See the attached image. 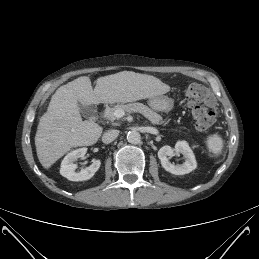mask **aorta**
Here are the masks:
<instances>
[{
	"instance_id": "obj_1",
	"label": "aorta",
	"mask_w": 259,
	"mask_h": 259,
	"mask_svg": "<svg viewBox=\"0 0 259 259\" xmlns=\"http://www.w3.org/2000/svg\"><path fill=\"white\" fill-rule=\"evenodd\" d=\"M127 140L131 144H138L141 141V135L138 131H129L127 134Z\"/></svg>"
}]
</instances>
